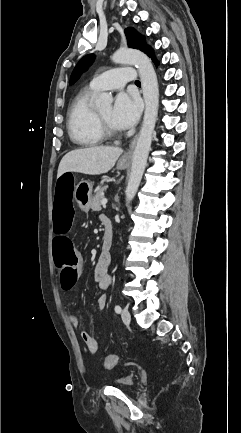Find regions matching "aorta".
Wrapping results in <instances>:
<instances>
[{
  "label": "aorta",
  "instance_id": "762f6f07",
  "mask_svg": "<svg viewBox=\"0 0 241 433\" xmlns=\"http://www.w3.org/2000/svg\"><path fill=\"white\" fill-rule=\"evenodd\" d=\"M112 60L119 64H132L138 68L145 101L143 124L133 153L131 173L125 192L126 201L129 202L138 190L147 164L158 113L159 88L152 62L144 53L134 49H119L114 53ZM112 101L111 94L102 93L95 100V104L98 107H108Z\"/></svg>",
  "mask_w": 241,
  "mask_h": 433
}]
</instances>
